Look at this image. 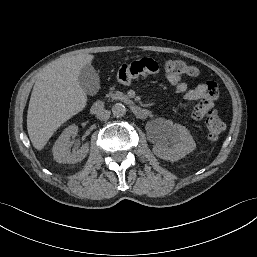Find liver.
I'll use <instances>...</instances> for the list:
<instances>
[{
	"label": "liver",
	"mask_w": 257,
	"mask_h": 257,
	"mask_svg": "<svg viewBox=\"0 0 257 257\" xmlns=\"http://www.w3.org/2000/svg\"><path fill=\"white\" fill-rule=\"evenodd\" d=\"M93 59L90 54L57 59L39 74L27 112L28 135L35 149L42 150L63 123L85 108L87 95L78 78Z\"/></svg>",
	"instance_id": "6515ba94"
}]
</instances>
